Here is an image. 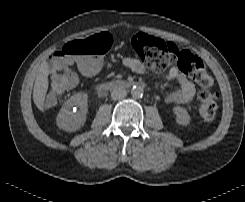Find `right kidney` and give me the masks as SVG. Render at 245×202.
I'll list each match as a JSON object with an SVG mask.
<instances>
[{
	"instance_id": "ca27d5eb",
	"label": "right kidney",
	"mask_w": 245,
	"mask_h": 202,
	"mask_svg": "<svg viewBox=\"0 0 245 202\" xmlns=\"http://www.w3.org/2000/svg\"><path fill=\"white\" fill-rule=\"evenodd\" d=\"M87 100L88 95L86 93L80 92L71 96L63 104L57 115V126L67 132L79 130L86 121Z\"/></svg>"
}]
</instances>
